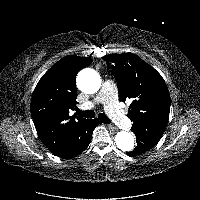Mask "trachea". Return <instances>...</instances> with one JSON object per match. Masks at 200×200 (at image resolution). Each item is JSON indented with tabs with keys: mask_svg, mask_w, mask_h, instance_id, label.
Masks as SVG:
<instances>
[{
	"mask_svg": "<svg viewBox=\"0 0 200 200\" xmlns=\"http://www.w3.org/2000/svg\"><path fill=\"white\" fill-rule=\"evenodd\" d=\"M76 111L80 116H83L85 118H94L95 117V112L93 110L81 111V110L77 109ZM98 119L101 122H103L104 124L111 123L110 119L104 113H100L98 115Z\"/></svg>",
	"mask_w": 200,
	"mask_h": 200,
	"instance_id": "3493384b",
	"label": "trachea"
}]
</instances>
